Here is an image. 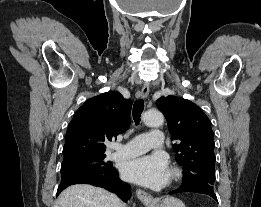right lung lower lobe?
<instances>
[{"label":"right lung lower lobe","instance_id":"obj_1","mask_svg":"<svg viewBox=\"0 0 261 207\" xmlns=\"http://www.w3.org/2000/svg\"><path fill=\"white\" fill-rule=\"evenodd\" d=\"M81 183L105 188L116 193L125 202L131 197L130 185L120 180L116 169L100 172H79L62 176L57 196L66 187Z\"/></svg>","mask_w":261,"mask_h":207}]
</instances>
